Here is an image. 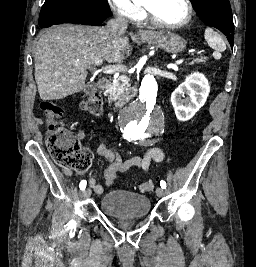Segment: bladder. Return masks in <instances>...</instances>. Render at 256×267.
<instances>
[{
    "mask_svg": "<svg viewBox=\"0 0 256 267\" xmlns=\"http://www.w3.org/2000/svg\"><path fill=\"white\" fill-rule=\"evenodd\" d=\"M150 198L123 189L107 192L101 198V212L116 218H139L150 213Z\"/></svg>",
    "mask_w": 256,
    "mask_h": 267,
    "instance_id": "bladder-1",
    "label": "bladder"
}]
</instances>
